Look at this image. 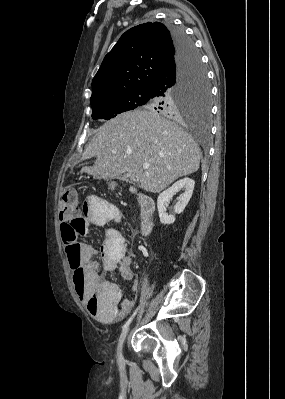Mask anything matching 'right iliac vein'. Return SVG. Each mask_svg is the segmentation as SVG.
Segmentation results:
<instances>
[{"instance_id": "63e3f726", "label": "right iliac vein", "mask_w": 285, "mask_h": 399, "mask_svg": "<svg viewBox=\"0 0 285 399\" xmlns=\"http://www.w3.org/2000/svg\"><path fill=\"white\" fill-rule=\"evenodd\" d=\"M128 333V328L125 329L122 334L120 335L119 342H118V352H119V359L123 358V345Z\"/></svg>"}]
</instances>
